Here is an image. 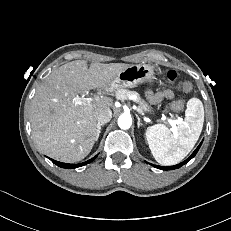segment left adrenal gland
<instances>
[{
	"mask_svg": "<svg viewBox=\"0 0 231 231\" xmlns=\"http://www.w3.org/2000/svg\"><path fill=\"white\" fill-rule=\"evenodd\" d=\"M138 122H137V126L138 128H140L142 126V123L140 122V118L137 116Z\"/></svg>",
	"mask_w": 231,
	"mask_h": 231,
	"instance_id": "a2214340",
	"label": "left adrenal gland"
}]
</instances>
